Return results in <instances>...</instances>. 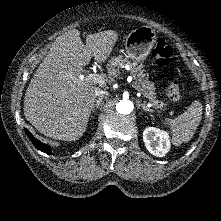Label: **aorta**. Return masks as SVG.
I'll list each match as a JSON object with an SVG mask.
<instances>
[{"instance_id":"aorta-1","label":"aorta","mask_w":221,"mask_h":221,"mask_svg":"<svg viewBox=\"0 0 221 221\" xmlns=\"http://www.w3.org/2000/svg\"><path fill=\"white\" fill-rule=\"evenodd\" d=\"M133 108H134V105L129 100H121L120 102L116 104L117 112L120 114H124V115L130 114Z\"/></svg>"}]
</instances>
